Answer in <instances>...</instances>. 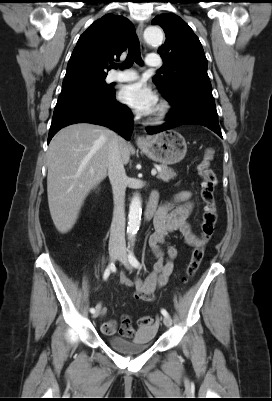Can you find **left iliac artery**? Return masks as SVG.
<instances>
[{
	"instance_id": "44dca946",
	"label": "left iliac artery",
	"mask_w": 272,
	"mask_h": 401,
	"mask_svg": "<svg viewBox=\"0 0 272 401\" xmlns=\"http://www.w3.org/2000/svg\"><path fill=\"white\" fill-rule=\"evenodd\" d=\"M128 258H129V262L131 263V265L133 267L140 268V263L136 259V257L134 256L132 251L129 252ZM161 313L163 316H169V313L165 309H161Z\"/></svg>"
}]
</instances>
